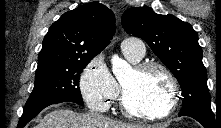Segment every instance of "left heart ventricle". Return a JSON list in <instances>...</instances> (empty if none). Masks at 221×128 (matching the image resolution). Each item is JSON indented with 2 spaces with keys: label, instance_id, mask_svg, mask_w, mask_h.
<instances>
[{
  "label": "left heart ventricle",
  "instance_id": "b2bd125f",
  "mask_svg": "<svg viewBox=\"0 0 221 128\" xmlns=\"http://www.w3.org/2000/svg\"><path fill=\"white\" fill-rule=\"evenodd\" d=\"M129 107L139 113L162 111L168 102L169 86L159 70L138 73L134 69L122 81Z\"/></svg>",
  "mask_w": 221,
  "mask_h": 128
}]
</instances>
